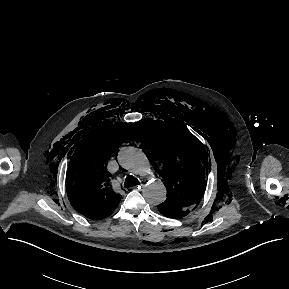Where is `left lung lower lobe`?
Returning <instances> with one entry per match:
<instances>
[{"mask_svg": "<svg viewBox=\"0 0 289 289\" xmlns=\"http://www.w3.org/2000/svg\"><path fill=\"white\" fill-rule=\"evenodd\" d=\"M158 210L161 214H163L164 216L168 218H180V217H184L187 215L183 211H176V210H172V209L162 207V206H158Z\"/></svg>", "mask_w": 289, "mask_h": 289, "instance_id": "left-lung-lower-lobe-1", "label": "left lung lower lobe"}]
</instances>
